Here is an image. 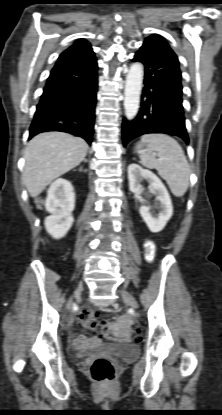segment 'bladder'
Listing matches in <instances>:
<instances>
[{
    "instance_id": "obj_1",
    "label": "bladder",
    "mask_w": 222,
    "mask_h": 415,
    "mask_svg": "<svg viewBox=\"0 0 222 415\" xmlns=\"http://www.w3.org/2000/svg\"><path fill=\"white\" fill-rule=\"evenodd\" d=\"M99 353L111 358L130 360L138 356L139 348L132 342H124L118 344H101L92 347H74L72 349V357L74 359H82L86 356Z\"/></svg>"
}]
</instances>
